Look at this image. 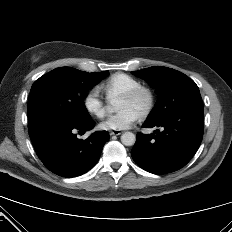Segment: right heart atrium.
I'll list each match as a JSON object with an SVG mask.
<instances>
[{"label":"right heart atrium","mask_w":232,"mask_h":232,"mask_svg":"<svg viewBox=\"0 0 232 232\" xmlns=\"http://www.w3.org/2000/svg\"><path fill=\"white\" fill-rule=\"evenodd\" d=\"M83 105L86 111L96 118H103L106 114L105 100L95 88L87 91L83 98Z\"/></svg>","instance_id":"obj_1"}]
</instances>
